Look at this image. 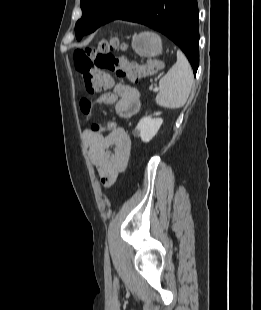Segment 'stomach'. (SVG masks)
<instances>
[{"label":"stomach","instance_id":"0dacf381","mask_svg":"<svg viewBox=\"0 0 261 310\" xmlns=\"http://www.w3.org/2000/svg\"><path fill=\"white\" fill-rule=\"evenodd\" d=\"M132 48L141 57H155L163 51L160 37L153 32L134 35Z\"/></svg>","mask_w":261,"mask_h":310}]
</instances>
